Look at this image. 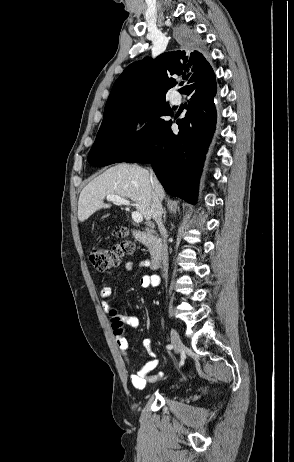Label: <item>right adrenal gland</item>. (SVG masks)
Returning a JSON list of instances; mask_svg holds the SVG:
<instances>
[{"label": "right adrenal gland", "instance_id": "2a0ac1e0", "mask_svg": "<svg viewBox=\"0 0 294 462\" xmlns=\"http://www.w3.org/2000/svg\"><path fill=\"white\" fill-rule=\"evenodd\" d=\"M166 214H167V211H166V208H164V210H163V218H164V222L166 221Z\"/></svg>", "mask_w": 294, "mask_h": 462}]
</instances>
